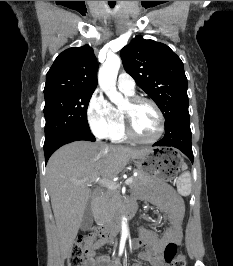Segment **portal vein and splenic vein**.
<instances>
[{
  "mask_svg": "<svg viewBox=\"0 0 233 266\" xmlns=\"http://www.w3.org/2000/svg\"><path fill=\"white\" fill-rule=\"evenodd\" d=\"M92 179L98 181L101 185H103L109 189H112V190H115L119 187L116 183H114L110 180H107V179H103L100 177H93ZM85 181H88V179L78 180V181H75V183L79 184V183H83ZM132 182H133V178L129 177L128 179H126L125 185H130Z\"/></svg>",
  "mask_w": 233,
  "mask_h": 266,
  "instance_id": "obj_1",
  "label": "portal vein and splenic vein"
}]
</instances>
